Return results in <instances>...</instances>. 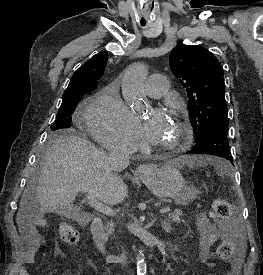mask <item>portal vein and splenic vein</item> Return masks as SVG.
<instances>
[{"label":"portal vein and splenic vein","instance_id":"obj_1","mask_svg":"<svg viewBox=\"0 0 263 275\" xmlns=\"http://www.w3.org/2000/svg\"><path fill=\"white\" fill-rule=\"evenodd\" d=\"M86 198H87L88 204L92 208H94L97 212H100L105 215H110V216L113 215V210L109 206H107V205L101 203L99 200H97L93 194L87 193ZM170 210L171 209L168 206L163 207L160 209V213H166V212H169Z\"/></svg>","mask_w":263,"mask_h":275}]
</instances>
